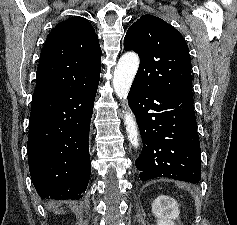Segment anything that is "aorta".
<instances>
[{"label": "aorta", "mask_w": 237, "mask_h": 225, "mask_svg": "<svg viewBox=\"0 0 237 225\" xmlns=\"http://www.w3.org/2000/svg\"><path fill=\"white\" fill-rule=\"evenodd\" d=\"M139 67V57L136 53H125L118 61V64L114 71L113 87L116 95L123 101L124 120L126 125V131L128 134V140L134 148L139 146L138 139V126L132 115L128 104L127 97Z\"/></svg>", "instance_id": "obj_1"}]
</instances>
